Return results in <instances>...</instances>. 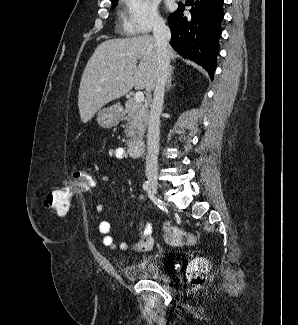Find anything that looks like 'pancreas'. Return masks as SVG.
Instances as JSON below:
<instances>
[{"label":"pancreas","instance_id":"cf45deb5","mask_svg":"<svg viewBox=\"0 0 298 325\" xmlns=\"http://www.w3.org/2000/svg\"><path fill=\"white\" fill-rule=\"evenodd\" d=\"M148 106L142 102H135L134 98H128L125 102V110L122 120H127L125 134L126 144H131L136 138H142L144 128L149 120Z\"/></svg>","mask_w":298,"mask_h":325}]
</instances>
